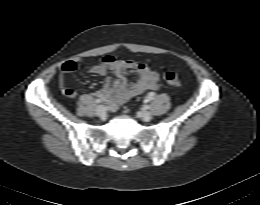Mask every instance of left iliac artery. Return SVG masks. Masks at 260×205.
Returning a JSON list of instances; mask_svg holds the SVG:
<instances>
[{
	"label": "left iliac artery",
	"mask_w": 260,
	"mask_h": 205,
	"mask_svg": "<svg viewBox=\"0 0 260 205\" xmlns=\"http://www.w3.org/2000/svg\"><path fill=\"white\" fill-rule=\"evenodd\" d=\"M149 99H151L152 97H151V95L148 97ZM146 102H148L149 100L148 99H146L145 100ZM150 108V106L149 105H145V109H149Z\"/></svg>",
	"instance_id": "44dca946"
}]
</instances>
